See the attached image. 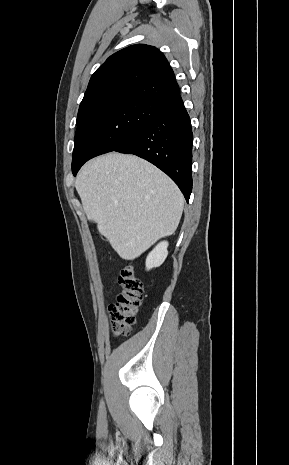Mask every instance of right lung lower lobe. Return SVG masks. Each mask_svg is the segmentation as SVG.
Instances as JSON below:
<instances>
[{"mask_svg":"<svg viewBox=\"0 0 289 465\" xmlns=\"http://www.w3.org/2000/svg\"><path fill=\"white\" fill-rule=\"evenodd\" d=\"M192 128L180 93L164 100L156 114L114 151L135 154L165 172L186 201L192 191ZM89 159L72 168L74 175Z\"/></svg>","mask_w":289,"mask_h":465,"instance_id":"1","label":"right lung lower lobe"}]
</instances>
